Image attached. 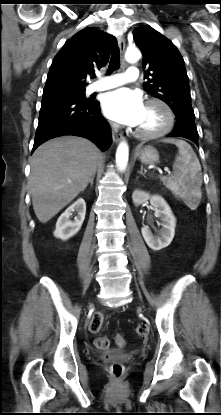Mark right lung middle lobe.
Wrapping results in <instances>:
<instances>
[{
    "label": "right lung middle lobe",
    "instance_id": "dd1d6c3e",
    "mask_svg": "<svg viewBox=\"0 0 221 415\" xmlns=\"http://www.w3.org/2000/svg\"><path fill=\"white\" fill-rule=\"evenodd\" d=\"M49 95L67 96V97H73V98L83 99V100L88 99L85 96V88L61 91V92H56V93H52V94H49Z\"/></svg>",
    "mask_w": 221,
    "mask_h": 415
}]
</instances>
